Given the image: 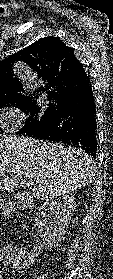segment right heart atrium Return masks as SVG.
<instances>
[{"instance_id": "d8ad5b80", "label": "right heart atrium", "mask_w": 113, "mask_h": 279, "mask_svg": "<svg viewBox=\"0 0 113 279\" xmlns=\"http://www.w3.org/2000/svg\"><path fill=\"white\" fill-rule=\"evenodd\" d=\"M26 119L27 114L22 107L9 104L4 106L0 112V127L5 132L13 133L23 126Z\"/></svg>"}]
</instances>
